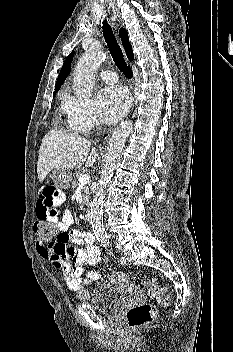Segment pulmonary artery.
Here are the masks:
<instances>
[{"label": "pulmonary artery", "mask_w": 233, "mask_h": 352, "mask_svg": "<svg viewBox=\"0 0 233 352\" xmlns=\"http://www.w3.org/2000/svg\"><path fill=\"white\" fill-rule=\"evenodd\" d=\"M99 77L106 83L113 84L117 82V75L110 70H103L99 73Z\"/></svg>", "instance_id": "e3ab8cb5"}]
</instances>
